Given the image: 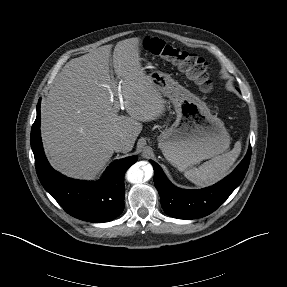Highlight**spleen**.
<instances>
[{
	"label": "spleen",
	"mask_w": 287,
	"mask_h": 287,
	"mask_svg": "<svg viewBox=\"0 0 287 287\" xmlns=\"http://www.w3.org/2000/svg\"><path fill=\"white\" fill-rule=\"evenodd\" d=\"M241 152V142L237 141L234 148L225 154L217 156L198 168L186 170L185 177L200 187H207L223 179Z\"/></svg>",
	"instance_id": "spleen-1"
}]
</instances>
